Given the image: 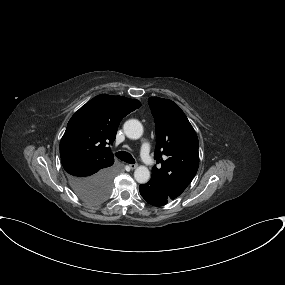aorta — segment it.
Wrapping results in <instances>:
<instances>
[{"label": "aorta", "instance_id": "1", "mask_svg": "<svg viewBox=\"0 0 285 285\" xmlns=\"http://www.w3.org/2000/svg\"><path fill=\"white\" fill-rule=\"evenodd\" d=\"M125 135L133 140L139 139L143 135V126L136 119L127 120L123 126ZM134 178L138 183L144 184L150 179V171L146 166H139L134 171Z\"/></svg>", "mask_w": 285, "mask_h": 285}]
</instances>
